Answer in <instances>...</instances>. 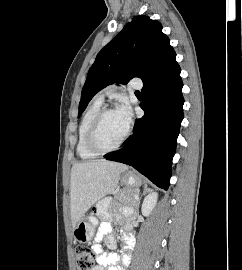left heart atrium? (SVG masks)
Returning a JSON list of instances; mask_svg holds the SVG:
<instances>
[{"label":"left heart atrium","mask_w":242,"mask_h":270,"mask_svg":"<svg viewBox=\"0 0 242 270\" xmlns=\"http://www.w3.org/2000/svg\"><path fill=\"white\" fill-rule=\"evenodd\" d=\"M125 126L128 128L132 120L131 107L127 103H123L117 110Z\"/></svg>","instance_id":"left-heart-atrium-1"}]
</instances>
